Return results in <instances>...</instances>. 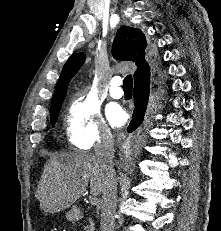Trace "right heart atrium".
Here are the masks:
<instances>
[{
  "label": "right heart atrium",
  "mask_w": 221,
  "mask_h": 231,
  "mask_svg": "<svg viewBox=\"0 0 221 231\" xmlns=\"http://www.w3.org/2000/svg\"><path fill=\"white\" fill-rule=\"evenodd\" d=\"M66 136L78 149L89 150L111 140L98 105L88 96H77L69 106L66 118Z\"/></svg>",
  "instance_id": "right-heart-atrium-1"
}]
</instances>
